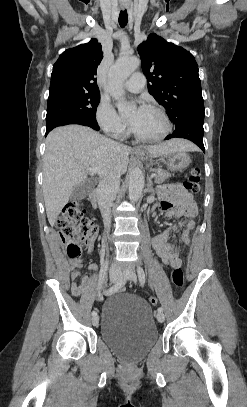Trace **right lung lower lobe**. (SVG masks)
Wrapping results in <instances>:
<instances>
[{
	"label": "right lung lower lobe",
	"mask_w": 247,
	"mask_h": 407,
	"mask_svg": "<svg viewBox=\"0 0 247 407\" xmlns=\"http://www.w3.org/2000/svg\"><path fill=\"white\" fill-rule=\"evenodd\" d=\"M67 124H80V125L89 126V127L93 128L94 130H99V126L97 125V122L94 123V122H90V121L79 119V118H62V119L55 120L52 123H49L46 125L47 129H46L45 136L55 127L63 126V125H67Z\"/></svg>",
	"instance_id": "right-lung-lower-lobe-1"
}]
</instances>
